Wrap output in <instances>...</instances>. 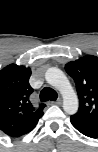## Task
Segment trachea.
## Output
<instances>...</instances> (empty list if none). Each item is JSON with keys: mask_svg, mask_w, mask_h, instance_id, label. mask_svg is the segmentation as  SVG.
<instances>
[{"mask_svg": "<svg viewBox=\"0 0 98 152\" xmlns=\"http://www.w3.org/2000/svg\"><path fill=\"white\" fill-rule=\"evenodd\" d=\"M58 98L57 92L49 87H45L40 92V101L46 102V101H55Z\"/></svg>", "mask_w": 98, "mask_h": 152, "instance_id": "1", "label": "trachea"}]
</instances>
